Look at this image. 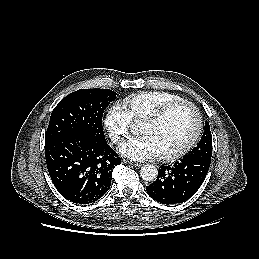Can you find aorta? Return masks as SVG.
<instances>
[{
    "mask_svg": "<svg viewBox=\"0 0 259 259\" xmlns=\"http://www.w3.org/2000/svg\"><path fill=\"white\" fill-rule=\"evenodd\" d=\"M158 175L157 168L154 165H144L140 170V176L145 181H153Z\"/></svg>",
    "mask_w": 259,
    "mask_h": 259,
    "instance_id": "obj_1",
    "label": "aorta"
}]
</instances>
